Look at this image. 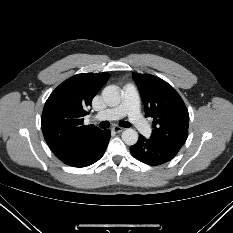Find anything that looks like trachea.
Listing matches in <instances>:
<instances>
[{
	"instance_id": "1",
	"label": "trachea",
	"mask_w": 233,
	"mask_h": 233,
	"mask_svg": "<svg viewBox=\"0 0 233 233\" xmlns=\"http://www.w3.org/2000/svg\"><path fill=\"white\" fill-rule=\"evenodd\" d=\"M109 126H110V123L108 121H103V122H100L99 124V127L102 129L108 128ZM120 126L128 128V127H131V124L127 121H123L120 123Z\"/></svg>"
}]
</instances>
